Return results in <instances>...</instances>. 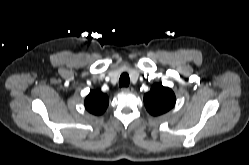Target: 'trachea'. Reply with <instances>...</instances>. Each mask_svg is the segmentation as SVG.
<instances>
[{
	"label": "trachea",
	"instance_id": "trachea-1",
	"mask_svg": "<svg viewBox=\"0 0 249 165\" xmlns=\"http://www.w3.org/2000/svg\"><path fill=\"white\" fill-rule=\"evenodd\" d=\"M129 83H130L129 75L127 73H123L119 79V86L120 87H128Z\"/></svg>",
	"mask_w": 249,
	"mask_h": 165
}]
</instances>
